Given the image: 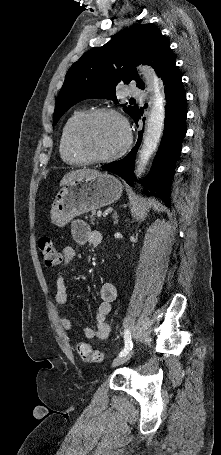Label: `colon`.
Wrapping results in <instances>:
<instances>
[{
	"label": "colon",
	"instance_id": "colon-1",
	"mask_svg": "<svg viewBox=\"0 0 221 455\" xmlns=\"http://www.w3.org/2000/svg\"><path fill=\"white\" fill-rule=\"evenodd\" d=\"M39 250L44 262L48 266H55L62 260L60 253L57 251L53 240L50 237H42L39 241ZM76 351L79 357L86 362H101L104 359L102 353L95 351L85 342H79L76 345Z\"/></svg>",
	"mask_w": 221,
	"mask_h": 455
}]
</instances>
